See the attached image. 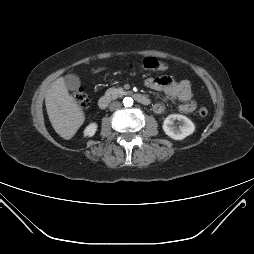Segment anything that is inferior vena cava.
Listing matches in <instances>:
<instances>
[{
    "mask_svg": "<svg viewBox=\"0 0 254 254\" xmlns=\"http://www.w3.org/2000/svg\"><path fill=\"white\" fill-rule=\"evenodd\" d=\"M121 107V103L118 101H114L109 105L110 111L118 110Z\"/></svg>",
    "mask_w": 254,
    "mask_h": 254,
    "instance_id": "602c4592",
    "label": "inferior vena cava"
}]
</instances>
